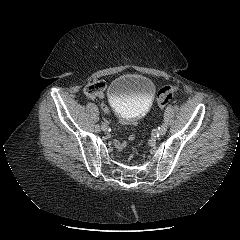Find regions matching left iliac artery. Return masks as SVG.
<instances>
[{"mask_svg": "<svg viewBox=\"0 0 240 240\" xmlns=\"http://www.w3.org/2000/svg\"><path fill=\"white\" fill-rule=\"evenodd\" d=\"M172 109V106L169 105L167 108H166V111H165V114H164V120L165 122H168L169 121V115H170V111Z\"/></svg>", "mask_w": 240, "mask_h": 240, "instance_id": "44dca946", "label": "left iliac artery"}]
</instances>
